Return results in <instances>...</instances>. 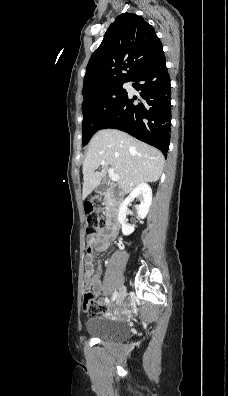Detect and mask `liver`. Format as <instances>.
Masks as SVG:
<instances>
[{
    "instance_id": "1",
    "label": "liver",
    "mask_w": 228,
    "mask_h": 396,
    "mask_svg": "<svg viewBox=\"0 0 228 396\" xmlns=\"http://www.w3.org/2000/svg\"><path fill=\"white\" fill-rule=\"evenodd\" d=\"M102 161L105 165L97 172ZM109 166L120 177L119 187L128 194L137 185L160 178L164 156L158 149L120 130L98 131L89 142L83 162V199L100 184Z\"/></svg>"
}]
</instances>
